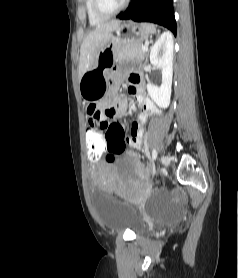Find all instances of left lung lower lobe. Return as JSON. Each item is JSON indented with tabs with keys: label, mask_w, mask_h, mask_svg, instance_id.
Wrapping results in <instances>:
<instances>
[{
	"label": "left lung lower lobe",
	"mask_w": 238,
	"mask_h": 278,
	"mask_svg": "<svg viewBox=\"0 0 238 278\" xmlns=\"http://www.w3.org/2000/svg\"><path fill=\"white\" fill-rule=\"evenodd\" d=\"M121 20L153 22L162 25L176 35V21L172 0H132L130 7L118 15Z\"/></svg>",
	"instance_id": "obj_1"
}]
</instances>
